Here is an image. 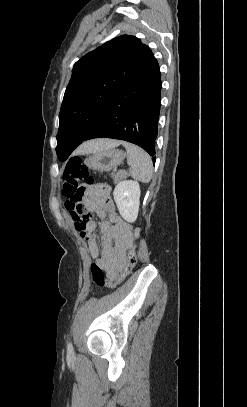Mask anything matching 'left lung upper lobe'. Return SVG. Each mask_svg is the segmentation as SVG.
<instances>
[{
	"mask_svg": "<svg viewBox=\"0 0 247 407\" xmlns=\"http://www.w3.org/2000/svg\"><path fill=\"white\" fill-rule=\"evenodd\" d=\"M153 57L140 39L122 35L76 62L59 113L56 152L61 161L85 141L118 93Z\"/></svg>",
	"mask_w": 247,
	"mask_h": 407,
	"instance_id": "left-lung-upper-lobe-1",
	"label": "left lung upper lobe"
}]
</instances>
